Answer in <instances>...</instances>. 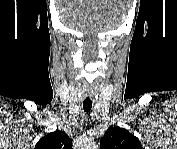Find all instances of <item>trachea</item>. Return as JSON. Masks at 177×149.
Returning a JSON list of instances; mask_svg holds the SVG:
<instances>
[{
	"mask_svg": "<svg viewBox=\"0 0 177 149\" xmlns=\"http://www.w3.org/2000/svg\"><path fill=\"white\" fill-rule=\"evenodd\" d=\"M92 108V103L91 102H87V103H84L83 102V109L86 113H88Z\"/></svg>",
	"mask_w": 177,
	"mask_h": 149,
	"instance_id": "trachea-1",
	"label": "trachea"
}]
</instances>
